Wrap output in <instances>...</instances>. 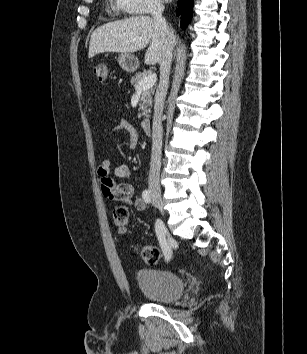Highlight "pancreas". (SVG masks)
Masks as SVG:
<instances>
[{"label":"pancreas","mask_w":307,"mask_h":354,"mask_svg":"<svg viewBox=\"0 0 307 354\" xmlns=\"http://www.w3.org/2000/svg\"><path fill=\"white\" fill-rule=\"evenodd\" d=\"M148 76L146 71L138 72L135 74L134 77L131 79V84L134 85L135 89L138 87L139 82ZM152 94L153 89L149 88L147 90L142 91L140 97V107L138 109V118L147 117L148 114L151 112L150 107L152 106Z\"/></svg>","instance_id":"obj_1"}]
</instances>
